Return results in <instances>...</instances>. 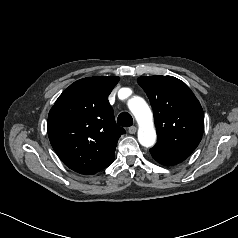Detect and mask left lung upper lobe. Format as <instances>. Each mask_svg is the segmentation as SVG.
I'll return each instance as SVG.
<instances>
[{"mask_svg": "<svg viewBox=\"0 0 238 238\" xmlns=\"http://www.w3.org/2000/svg\"><path fill=\"white\" fill-rule=\"evenodd\" d=\"M154 112L157 143L152 149L187 158L204 130L202 107L189 87L172 76L139 77Z\"/></svg>", "mask_w": 238, "mask_h": 238, "instance_id": "obj_1", "label": "left lung upper lobe"}]
</instances>
